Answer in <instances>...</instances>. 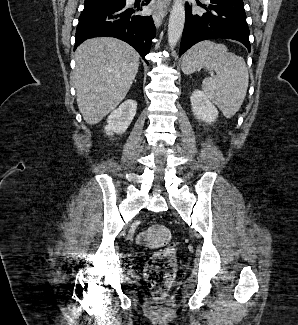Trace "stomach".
Listing matches in <instances>:
<instances>
[{"instance_id":"obj_1","label":"stomach","mask_w":298,"mask_h":325,"mask_svg":"<svg viewBox=\"0 0 298 325\" xmlns=\"http://www.w3.org/2000/svg\"><path fill=\"white\" fill-rule=\"evenodd\" d=\"M184 62H185V54H184V56H183V64H184Z\"/></svg>"}]
</instances>
